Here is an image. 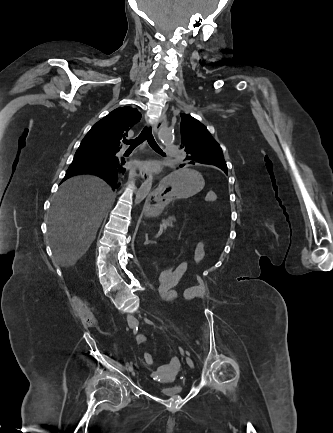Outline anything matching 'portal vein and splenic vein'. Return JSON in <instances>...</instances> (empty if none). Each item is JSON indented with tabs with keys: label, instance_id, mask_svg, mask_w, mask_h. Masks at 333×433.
<instances>
[{
	"label": "portal vein and splenic vein",
	"instance_id": "portal-vein-and-splenic-vein-1",
	"mask_svg": "<svg viewBox=\"0 0 333 433\" xmlns=\"http://www.w3.org/2000/svg\"><path fill=\"white\" fill-rule=\"evenodd\" d=\"M164 229H166V226L165 225H161L160 229H159V233H162Z\"/></svg>",
	"mask_w": 333,
	"mask_h": 433
}]
</instances>
